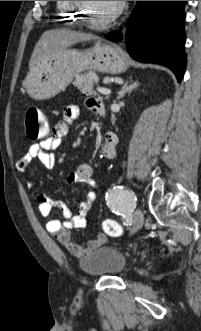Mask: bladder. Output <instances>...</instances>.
Returning <instances> with one entry per match:
<instances>
[{"mask_svg": "<svg viewBox=\"0 0 201 331\" xmlns=\"http://www.w3.org/2000/svg\"><path fill=\"white\" fill-rule=\"evenodd\" d=\"M126 267V256L111 245L95 248L80 261L81 270L93 277L118 276Z\"/></svg>", "mask_w": 201, "mask_h": 331, "instance_id": "1", "label": "bladder"}]
</instances>
